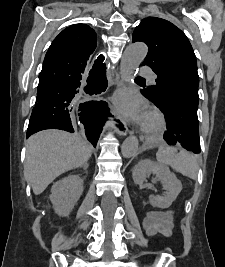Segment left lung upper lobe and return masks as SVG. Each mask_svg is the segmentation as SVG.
I'll list each match as a JSON object with an SVG mask.
<instances>
[{
	"instance_id": "left-lung-upper-lobe-1",
	"label": "left lung upper lobe",
	"mask_w": 225,
	"mask_h": 267,
	"mask_svg": "<svg viewBox=\"0 0 225 267\" xmlns=\"http://www.w3.org/2000/svg\"><path fill=\"white\" fill-rule=\"evenodd\" d=\"M137 41L149 48L142 65H148L158 76L156 85L144 89L156 105H161L169 91L181 83L199 85L192 46L174 24L162 18L147 17L133 32L132 42Z\"/></svg>"
}]
</instances>
